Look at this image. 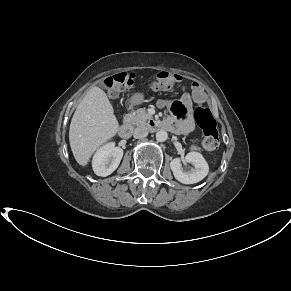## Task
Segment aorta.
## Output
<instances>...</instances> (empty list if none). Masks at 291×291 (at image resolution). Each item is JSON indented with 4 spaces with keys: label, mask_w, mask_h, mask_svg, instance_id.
I'll return each instance as SVG.
<instances>
[{
    "label": "aorta",
    "mask_w": 291,
    "mask_h": 291,
    "mask_svg": "<svg viewBox=\"0 0 291 291\" xmlns=\"http://www.w3.org/2000/svg\"><path fill=\"white\" fill-rule=\"evenodd\" d=\"M168 138V134L166 131L164 130H159L157 133H156V140L158 142H164L166 141Z\"/></svg>",
    "instance_id": "762f6f07"
}]
</instances>
